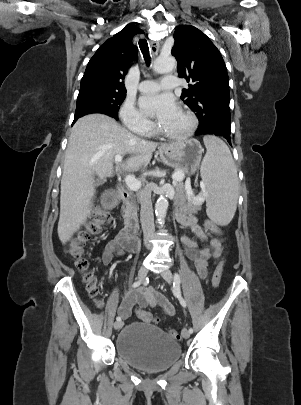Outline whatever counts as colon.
Listing matches in <instances>:
<instances>
[{"label":"colon","mask_w":301,"mask_h":405,"mask_svg":"<svg viewBox=\"0 0 301 405\" xmlns=\"http://www.w3.org/2000/svg\"><path fill=\"white\" fill-rule=\"evenodd\" d=\"M111 217L109 213L103 210H94L90 213L89 217L84 223L83 228L73 237L68 244L67 253L74 259L75 266L79 271L84 273L85 282L91 297H96L98 295V287L95 278L88 271L89 263L84 257V245L85 243L96 236H99L104 227L110 223ZM204 227L207 231L219 234L221 232L220 227L212 222L205 221ZM224 261H220L212 275V285L213 287H218L221 282L222 272H223ZM136 313L140 319L148 323H157L159 321L158 317L143 310L142 308H137ZM168 335L173 339H179L180 333L176 329L168 330Z\"/></svg>","instance_id":"obj_1"}]
</instances>
